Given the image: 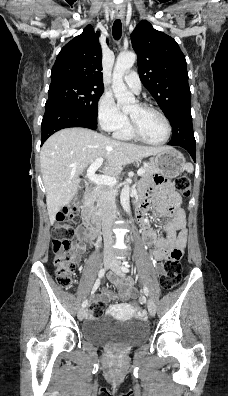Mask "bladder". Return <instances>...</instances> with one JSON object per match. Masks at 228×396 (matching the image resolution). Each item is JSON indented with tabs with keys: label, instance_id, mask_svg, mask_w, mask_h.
I'll return each instance as SVG.
<instances>
[{
	"label": "bladder",
	"instance_id": "bladder-1",
	"mask_svg": "<svg viewBox=\"0 0 228 396\" xmlns=\"http://www.w3.org/2000/svg\"><path fill=\"white\" fill-rule=\"evenodd\" d=\"M81 334L85 340L99 346H131L147 339L148 328L138 319L119 321L111 317H94L83 325Z\"/></svg>",
	"mask_w": 228,
	"mask_h": 396
}]
</instances>
